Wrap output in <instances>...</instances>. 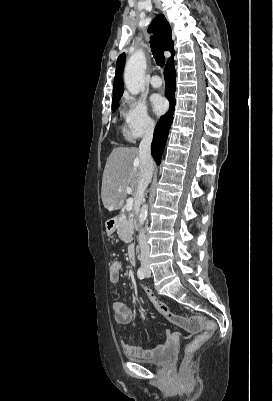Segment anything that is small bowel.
<instances>
[{"instance_id":"c3829d8e","label":"small bowel","mask_w":273,"mask_h":401,"mask_svg":"<svg viewBox=\"0 0 273 401\" xmlns=\"http://www.w3.org/2000/svg\"><path fill=\"white\" fill-rule=\"evenodd\" d=\"M122 265L120 261H112L109 266V280L111 283H117L120 280V273H121ZM153 291V290H152ZM153 294H155L153 292ZM112 309L114 312V319L118 324H127L132 320V311L131 309L122 301H115L112 304ZM187 317L179 315L178 321H185ZM173 321L172 319H168ZM187 331V330H186ZM178 335V334H177ZM170 331L167 332V339L166 341L158 346L154 350L145 351L141 348L129 345L128 343L122 342V349L125 353L132 355V356H146V357H154L158 355L160 352L164 351L168 348L174 339L178 336ZM186 335V334H183Z\"/></svg>"}]
</instances>
